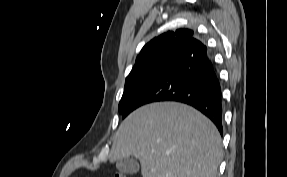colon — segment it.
<instances>
[{"label":"colon","mask_w":287,"mask_h":177,"mask_svg":"<svg viewBox=\"0 0 287 177\" xmlns=\"http://www.w3.org/2000/svg\"><path fill=\"white\" fill-rule=\"evenodd\" d=\"M114 177H126V176L124 174H122V173H116L114 175Z\"/></svg>","instance_id":"colon-1"}]
</instances>
